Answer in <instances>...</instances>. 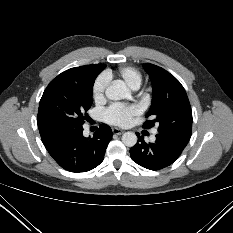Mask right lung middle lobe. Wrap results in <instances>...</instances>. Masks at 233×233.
Listing matches in <instances>:
<instances>
[{
	"mask_svg": "<svg viewBox=\"0 0 233 233\" xmlns=\"http://www.w3.org/2000/svg\"><path fill=\"white\" fill-rule=\"evenodd\" d=\"M106 67L90 68L78 77L52 81L39 103L37 124L40 135L77 128L92 105L95 78Z\"/></svg>",
	"mask_w": 233,
	"mask_h": 233,
	"instance_id": "right-lung-middle-lobe-1",
	"label": "right lung middle lobe"
}]
</instances>
